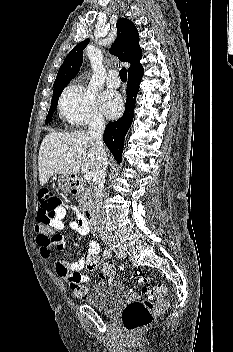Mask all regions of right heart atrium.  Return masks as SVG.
<instances>
[{
    "instance_id": "right-heart-atrium-1",
    "label": "right heart atrium",
    "mask_w": 233,
    "mask_h": 352,
    "mask_svg": "<svg viewBox=\"0 0 233 352\" xmlns=\"http://www.w3.org/2000/svg\"><path fill=\"white\" fill-rule=\"evenodd\" d=\"M58 108L62 118L72 126L100 125L104 122L95 95L78 83H72L65 88Z\"/></svg>"
}]
</instances>
